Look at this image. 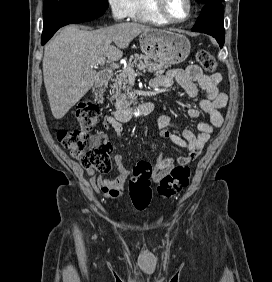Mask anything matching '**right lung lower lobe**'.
I'll list each match as a JSON object with an SVG mask.
<instances>
[{"instance_id":"obj_1","label":"right lung lower lobe","mask_w":272,"mask_h":282,"mask_svg":"<svg viewBox=\"0 0 272 282\" xmlns=\"http://www.w3.org/2000/svg\"><path fill=\"white\" fill-rule=\"evenodd\" d=\"M105 10L98 8H81L51 14L44 18L41 44L44 45L54 33L70 23L86 22L98 18Z\"/></svg>"}]
</instances>
